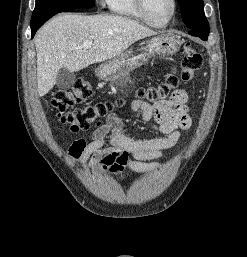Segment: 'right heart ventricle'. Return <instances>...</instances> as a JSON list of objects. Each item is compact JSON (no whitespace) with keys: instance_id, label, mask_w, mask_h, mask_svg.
<instances>
[{"instance_id":"e07e8e85","label":"right heart ventricle","mask_w":247,"mask_h":257,"mask_svg":"<svg viewBox=\"0 0 247 257\" xmlns=\"http://www.w3.org/2000/svg\"><path fill=\"white\" fill-rule=\"evenodd\" d=\"M109 10L117 15L143 20L135 0H107ZM144 21V20H143Z\"/></svg>"}]
</instances>
